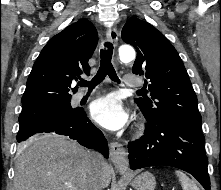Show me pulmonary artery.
Here are the masks:
<instances>
[{"label": "pulmonary artery", "mask_w": 221, "mask_h": 190, "mask_svg": "<svg viewBox=\"0 0 221 190\" xmlns=\"http://www.w3.org/2000/svg\"><path fill=\"white\" fill-rule=\"evenodd\" d=\"M122 83L124 86L127 87H141L142 86V80L135 75L132 74H125L123 76V80ZM96 92V89H92V90H83L80 91L78 93H76L73 97L74 102H79L80 100H82L84 97H86L87 95H92Z\"/></svg>", "instance_id": "1"}]
</instances>
